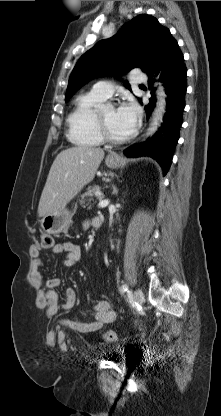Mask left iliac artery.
<instances>
[{
  "label": "left iliac artery",
  "mask_w": 221,
  "mask_h": 416,
  "mask_svg": "<svg viewBox=\"0 0 221 416\" xmlns=\"http://www.w3.org/2000/svg\"><path fill=\"white\" fill-rule=\"evenodd\" d=\"M126 291H128V286H127L126 284H124V285H122V286L120 287V292H121V293H124V292H126Z\"/></svg>",
  "instance_id": "1"
}]
</instances>
